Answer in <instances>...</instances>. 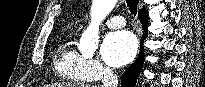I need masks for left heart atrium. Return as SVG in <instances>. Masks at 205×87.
Returning a JSON list of instances; mask_svg holds the SVG:
<instances>
[{"mask_svg":"<svg viewBox=\"0 0 205 87\" xmlns=\"http://www.w3.org/2000/svg\"><path fill=\"white\" fill-rule=\"evenodd\" d=\"M137 53V40L130 31H117L108 34L101 46L105 62L113 67L131 62Z\"/></svg>","mask_w":205,"mask_h":87,"instance_id":"obj_1","label":"left heart atrium"}]
</instances>
